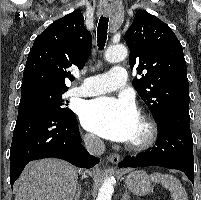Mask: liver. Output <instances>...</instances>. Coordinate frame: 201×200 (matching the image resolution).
I'll list each match as a JSON object with an SVG mask.
<instances>
[{
    "label": "liver",
    "mask_w": 201,
    "mask_h": 200,
    "mask_svg": "<svg viewBox=\"0 0 201 200\" xmlns=\"http://www.w3.org/2000/svg\"><path fill=\"white\" fill-rule=\"evenodd\" d=\"M78 173L66 161L43 159L30 163L20 178L15 200H73Z\"/></svg>",
    "instance_id": "1"
}]
</instances>
